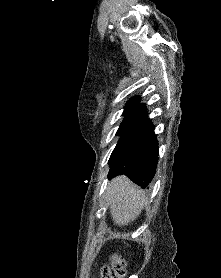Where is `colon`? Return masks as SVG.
Wrapping results in <instances>:
<instances>
[{
  "instance_id": "obj_1",
  "label": "colon",
  "mask_w": 221,
  "mask_h": 278,
  "mask_svg": "<svg viewBox=\"0 0 221 278\" xmlns=\"http://www.w3.org/2000/svg\"><path fill=\"white\" fill-rule=\"evenodd\" d=\"M126 266L124 260L118 255L111 257L110 266L102 268L99 278H125Z\"/></svg>"
}]
</instances>
